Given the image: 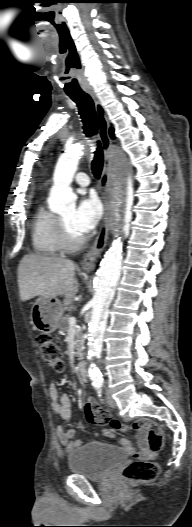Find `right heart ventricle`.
<instances>
[{
  "label": "right heart ventricle",
  "instance_id": "right-heart-ventricle-1",
  "mask_svg": "<svg viewBox=\"0 0 192 527\" xmlns=\"http://www.w3.org/2000/svg\"><path fill=\"white\" fill-rule=\"evenodd\" d=\"M57 218L44 205L37 207L31 222L32 246L37 254L53 256L62 251Z\"/></svg>",
  "mask_w": 192,
  "mask_h": 527
}]
</instances>
